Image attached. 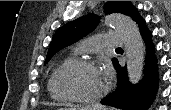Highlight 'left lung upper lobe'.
<instances>
[{"instance_id": "obj_1", "label": "left lung upper lobe", "mask_w": 171, "mask_h": 110, "mask_svg": "<svg viewBox=\"0 0 171 110\" xmlns=\"http://www.w3.org/2000/svg\"><path fill=\"white\" fill-rule=\"evenodd\" d=\"M105 12L110 13H122L130 16L137 23L141 19L138 10L130 3V1H108L105 4ZM99 23V17L94 14H88L73 20L64 26H62L52 39L50 48L48 50L45 64L61 49L71 45L88 33L94 30ZM113 65L116 68L118 60L113 59Z\"/></svg>"}]
</instances>
